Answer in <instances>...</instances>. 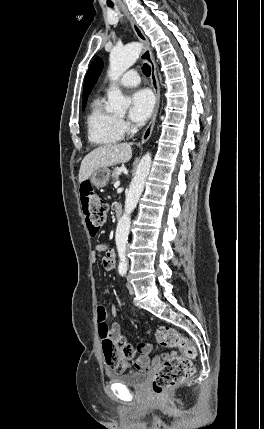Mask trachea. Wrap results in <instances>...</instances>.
Listing matches in <instances>:
<instances>
[{"instance_id":"1","label":"trachea","mask_w":264,"mask_h":429,"mask_svg":"<svg viewBox=\"0 0 264 429\" xmlns=\"http://www.w3.org/2000/svg\"><path fill=\"white\" fill-rule=\"evenodd\" d=\"M108 6H109V7H111V8H113V5H112V4H108ZM142 71H143L144 75H146V76H150V73H151V67H150L147 63H145V64L143 65V67H142Z\"/></svg>"}]
</instances>
